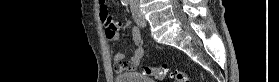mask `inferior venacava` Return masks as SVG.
Masks as SVG:
<instances>
[{
	"mask_svg": "<svg viewBox=\"0 0 279 82\" xmlns=\"http://www.w3.org/2000/svg\"><path fill=\"white\" fill-rule=\"evenodd\" d=\"M132 6H133V10L138 11L137 0H132Z\"/></svg>",
	"mask_w": 279,
	"mask_h": 82,
	"instance_id": "obj_1",
	"label": "inferior vena cava"
}]
</instances>
